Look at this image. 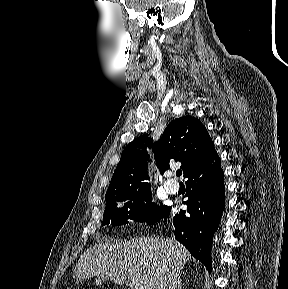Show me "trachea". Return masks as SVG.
I'll list each match as a JSON object with an SVG mask.
<instances>
[{"instance_id":"obj_1","label":"trachea","mask_w":288,"mask_h":289,"mask_svg":"<svg viewBox=\"0 0 288 289\" xmlns=\"http://www.w3.org/2000/svg\"><path fill=\"white\" fill-rule=\"evenodd\" d=\"M176 175H177V176H181V175H182V170H177V171H176Z\"/></svg>"}]
</instances>
